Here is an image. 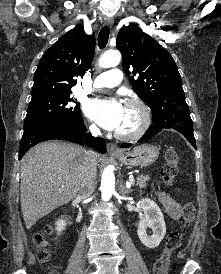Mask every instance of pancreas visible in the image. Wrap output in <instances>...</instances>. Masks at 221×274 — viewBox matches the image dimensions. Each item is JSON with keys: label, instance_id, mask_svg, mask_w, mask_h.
<instances>
[{"label": "pancreas", "instance_id": "pancreas-1", "mask_svg": "<svg viewBox=\"0 0 221 274\" xmlns=\"http://www.w3.org/2000/svg\"><path fill=\"white\" fill-rule=\"evenodd\" d=\"M149 180V176L148 175H140L137 178V185L141 188H144L147 186V181Z\"/></svg>", "mask_w": 221, "mask_h": 274}]
</instances>
